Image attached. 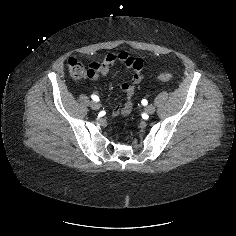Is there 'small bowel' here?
<instances>
[{"mask_svg": "<svg viewBox=\"0 0 236 236\" xmlns=\"http://www.w3.org/2000/svg\"><path fill=\"white\" fill-rule=\"evenodd\" d=\"M117 61L124 64L127 69L131 71V76L129 81L119 82V89L126 97V102L123 105L113 108L111 114L114 117L120 115L127 116L131 113L133 108L132 97L135 86L140 84L144 78L142 73L144 61L139 56H133L128 52H120L118 54L109 53L101 62H91L88 65L90 71L89 78L97 80L102 75H105Z\"/></svg>", "mask_w": 236, "mask_h": 236, "instance_id": "small-bowel-1", "label": "small bowel"}]
</instances>
